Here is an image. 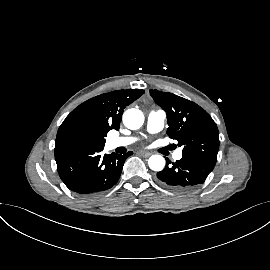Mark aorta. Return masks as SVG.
I'll return each mask as SVG.
<instances>
[{"label": "aorta", "instance_id": "obj_1", "mask_svg": "<svg viewBox=\"0 0 270 270\" xmlns=\"http://www.w3.org/2000/svg\"><path fill=\"white\" fill-rule=\"evenodd\" d=\"M123 123L128 129H139L144 123V114L139 109H128L123 114ZM148 165L153 171H161L165 166V159L161 155H152Z\"/></svg>", "mask_w": 270, "mask_h": 270}]
</instances>
